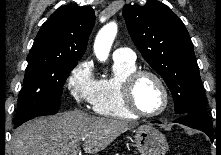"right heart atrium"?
I'll list each match as a JSON object with an SVG mask.
<instances>
[{"instance_id": "d8ad5b80", "label": "right heart atrium", "mask_w": 221, "mask_h": 155, "mask_svg": "<svg viewBox=\"0 0 221 155\" xmlns=\"http://www.w3.org/2000/svg\"><path fill=\"white\" fill-rule=\"evenodd\" d=\"M96 81L92 61L83 60L69 72L65 84L69 94L76 103L92 105Z\"/></svg>"}]
</instances>
